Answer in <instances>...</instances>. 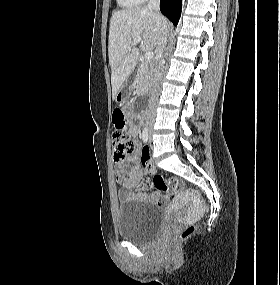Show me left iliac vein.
Segmentation results:
<instances>
[{"mask_svg": "<svg viewBox=\"0 0 280 285\" xmlns=\"http://www.w3.org/2000/svg\"><path fill=\"white\" fill-rule=\"evenodd\" d=\"M152 140L151 133H150V141Z\"/></svg>", "mask_w": 280, "mask_h": 285, "instance_id": "1", "label": "left iliac vein"}]
</instances>
